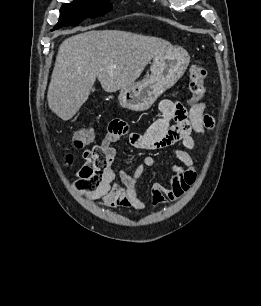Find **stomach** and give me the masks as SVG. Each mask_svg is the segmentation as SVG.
I'll return each mask as SVG.
<instances>
[{
  "instance_id": "obj_1",
  "label": "stomach",
  "mask_w": 261,
  "mask_h": 306,
  "mask_svg": "<svg viewBox=\"0 0 261 306\" xmlns=\"http://www.w3.org/2000/svg\"><path fill=\"white\" fill-rule=\"evenodd\" d=\"M190 57L185 49L172 46L153 58L150 75L119 91V102L132 111H145L184 74Z\"/></svg>"
}]
</instances>
